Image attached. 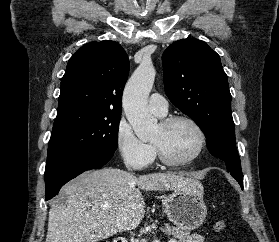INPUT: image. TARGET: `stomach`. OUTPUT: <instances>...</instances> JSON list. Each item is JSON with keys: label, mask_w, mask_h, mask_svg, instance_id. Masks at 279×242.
<instances>
[{"label": "stomach", "mask_w": 279, "mask_h": 242, "mask_svg": "<svg viewBox=\"0 0 279 242\" xmlns=\"http://www.w3.org/2000/svg\"><path fill=\"white\" fill-rule=\"evenodd\" d=\"M162 205L169 220L186 231L201 226L207 215L201 185L197 189L175 190L165 195Z\"/></svg>", "instance_id": "0dacf381"}]
</instances>
